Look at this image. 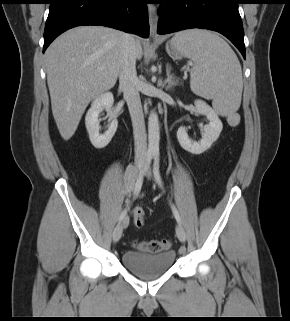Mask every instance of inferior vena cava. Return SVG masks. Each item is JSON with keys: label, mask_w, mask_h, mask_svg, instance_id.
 <instances>
[{"label": "inferior vena cava", "mask_w": 290, "mask_h": 321, "mask_svg": "<svg viewBox=\"0 0 290 321\" xmlns=\"http://www.w3.org/2000/svg\"><path fill=\"white\" fill-rule=\"evenodd\" d=\"M119 87L123 91L130 112L136 158L147 154V137L144 114L139 95V79L136 72V41L132 35L125 34L121 43Z\"/></svg>", "instance_id": "1"}]
</instances>
